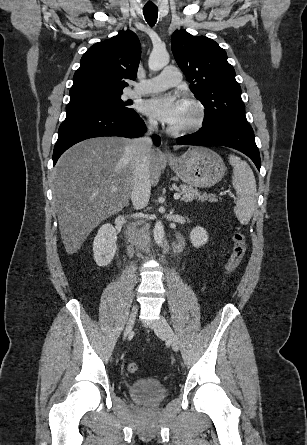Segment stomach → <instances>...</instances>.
I'll list each match as a JSON object with an SVG mask.
<instances>
[{
    "instance_id": "obj_1",
    "label": "stomach",
    "mask_w": 307,
    "mask_h": 445,
    "mask_svg": "<svg viewBox=\"0 0 307 445\" xmlns=\"http://www.w3.org/2000/svg\"><path fill=\"white\" fill-rule=\"evenodd\" d=\"M168 162L185 184L200 186V188L217 184L226 170L221 156L205 146L188 148L185 154L176 156V160H168Z\"/></svg>"
}]
</instances>
